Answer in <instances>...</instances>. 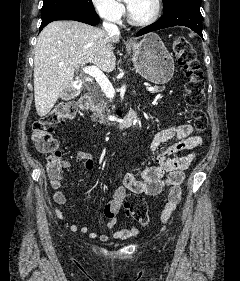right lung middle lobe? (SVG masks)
<instances>
[{
  "label": "right lung middle lobe",
  "mask_w": 240,
  "mask_h": 281,
  "mask_svg": "<svg viewBox=\"0 0 240 281\" xmlns=\"http://www.w3.org/2000/svg\"><path fill=\"white\" fill-rule=\"evenodd\" d=\"M41 18L63 11L96 15L91 0H43Z\"/></svg>",
  "instance_id": "obj_1"
}]
</instances>
